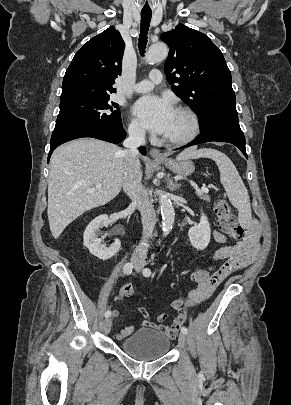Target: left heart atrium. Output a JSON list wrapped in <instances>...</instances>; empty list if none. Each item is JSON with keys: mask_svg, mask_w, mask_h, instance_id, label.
Wrapping results in <instances>:
<instances>
[{"mask_svg": "<svg viewBox=\"0 0 291 405\" xmlns=\"http://www.w3.org/2000/svg\"><path fill=\"white\" fill-rule=\"evenodd\" d=\"M174 111L168 98L155 95L141 97L132 107L134 117L145 128L163 135L170 127Z\"/></svg>", "mask_w": 291, "mask_h": 405, "instance_id": "obj_1", "label": "left heart atrium"}]
</instances>
